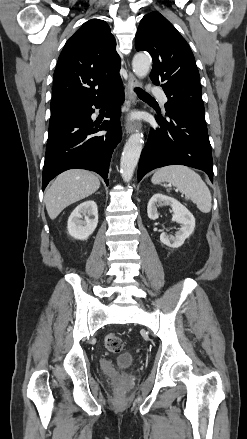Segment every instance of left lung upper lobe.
I'll return each instance as SVG.
<instances>
[{"label":"left lung upper lobe","mask_w":247,"mask_h":439,"mask_svg":"<svg viewBox=\"0 0 247 439\" xmlns=\"http://www.w3.org/2000/svg\"><path fill=\"white\" fill-rule=\"evenodd\" d=\"M135 47L152 56L150 79L153 84L161 85L168 98L166 115L187 114L205 119L193 53L174 26L159 12L145 15L138 27Z\"/></svg>","instance_id":"5c2ea615"}]
</instances>
